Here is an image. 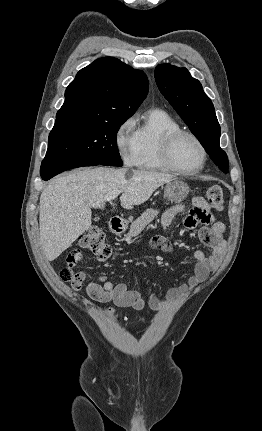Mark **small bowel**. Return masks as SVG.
<instances>
[{
	"label": "small bowel",
	"mask_w": 262,
	"mask_h": 431,
	"mask_svg": "<svg viewBox=\"0 0 262 431\" xmlns=\"http://www.w3.org/2000/svg\"><path fill=\"white\" fill-rule=\"evenodd\" d=\"M189 206L193 208L194 213L185 219V225L189 228L201 224L199 231L201 241L211 248L209 255L201 250H195L196 259L194 274L186 283H182L167 293L166 301H161L155 292L148 293V304L152 309L159 310L166 303H176L188 295L197 285L202 283L208 275L214 271L220 264L226 252L225 225L219 221L211 211L207 200L204 197H194ZM185 208V205L172 207L164 212L161 218L162 230H168L175 221L177 214ZM158 249L168 252L171 246L166 239L164 242L155 246ZM74 290L81 288V282H75L72 285ZM86 293L90 298L101 303H111L118 308L131 307L137 310L145 307L142 291L131 290L125 283H113L101 277V282L89 281L85 286Z\"/></svg>",
	"instance_id": "1"
}]
</instances>
